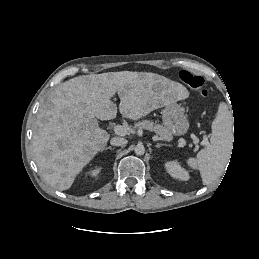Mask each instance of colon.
I'll return each instance as SVG.
<instances>
[{"label":"colon","instance_id":"colon-1","mask_svg":"<svg viewBox=\"0 0 259 259\" xmlns=\"http://www.w3.org/2000/svg\"><path fill=\"white\" fill-rule=\"evenodd\" d=\"M180 80L189 88L196 91L200 96L205 97L208 91L204 87V79L188 70H181L178 74Z\"/></svg>","mask_w":259,"mask_h":259}]
</instances>
